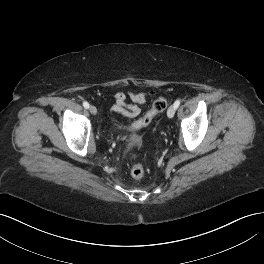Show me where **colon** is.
Masks as SVG:
<instances>
[{
	"mask_svg": "<svg viewBox=\"0 0 264 264\" xmlns=\"http://www.w3.org/2000/svg\"><path fill=\"white\" fill-rule=\"evenodd\" d=\"M166 106V99H164L163 97L157 98L152 102L148 111L140 119H138L131 125V128L139 129L144 126H147L149 123H151V121L157 114H159L166 108ZM130 174L135 179L142 178L145 174V168L142 164H135L132 166Z\"/></svg>",
	"mask_w": 264,
	"mask_h": 264,
	"instance_id": "5ec220e1",
	"label": "colon"
}]
</instances>
